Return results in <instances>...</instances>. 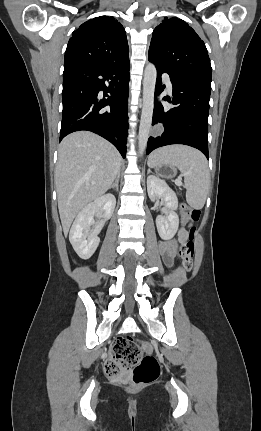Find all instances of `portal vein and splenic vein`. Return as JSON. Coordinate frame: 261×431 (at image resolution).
Wrapping results in <instances>:
<instances>
[{"label": "portal vein and splenic vein", "instance_id": "18ae733b", "mask_svg": "<svg viewBox=\"0 0 261 431\" xmlns=\"http://www.w3.org/2000/svg\"><path fill=\"white\" fill-rule=\"evenodd\" d=\"M175 183H176L178 186H181V185H182L181 178L176 179V180H175Z\"/></svg>", "mask_w": 261, "mask_h": 431}]
</instances>
